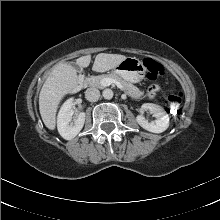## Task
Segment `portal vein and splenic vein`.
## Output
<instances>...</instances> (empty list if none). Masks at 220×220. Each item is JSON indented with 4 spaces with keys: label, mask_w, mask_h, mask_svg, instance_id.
I'll use <instances>...</instances> for the list:
<instances>
[{
    "label": "portal vein and splenic vein",
    "mask_w": 220,
    "mask_h": 220,
    "mask_svg": "<svg viewBox=\"0 0 220 220\" xmlns=\"http://www.w3.org/2000/svg\"><path fill=\"white\" fill-rule=\"evenodd\" d=\"M111 84H115L119 89L124 90L123 86L116 80L111 78H104L101 80V85L106 87L110 86Z\"/></svg>",
    "instance_id": "portal-vein-and-splenic-vein-1"
}]
</instances>
